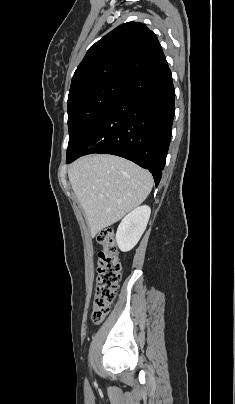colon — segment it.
<instances>
[{"label": "colon", "mask_w": 235, "mask_h": 404, "mask_svg": "<svg viewBox=\"0 0 235 404\" xmlns=\"http://www.w3.org/2000/svg\"><path fill=\"white\" fill-rule=\"evenodd\" d=\"M97 241L100 251L92 320L99 324L109 313L116 298L121 278V264L116 240L111 229L102 231L98 235Z\"/></svg>", "instance_id": "obj_1"}]
</instances>
